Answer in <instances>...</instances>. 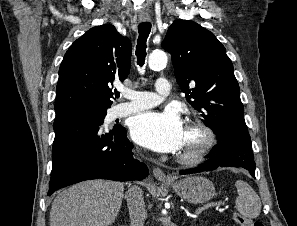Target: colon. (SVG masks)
Listing matches in <instances>:
<instances>
[{
  "label": "colon",
  "instance_id": "obj_1",
  "mask_svg": "<svg viewBox=\"0 0 297 226\" xmlns=\"http://www.w3.org/2000/svg\"><path fill=\"white\" fill-rule=\"evenodd\" d=\"M233 218L239 226H263L262 223L258 221H253L252 219L243 216L239 213H235Z\"/></svg>",
  "mask_w": 297,
  "mask_h": 226
}]
</instances>
